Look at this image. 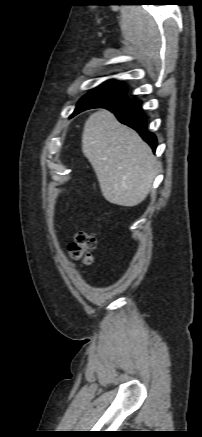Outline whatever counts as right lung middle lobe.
I'll list each match as a JSON object with an SVG mask.
<instances>
[{
  "label": "right lung middle lobe",
  "mask_w": 202,
  "mask_h": 437,
  "mask_svg": "<svg viewBox=\"0 0 202 437\" xmlns=\"http://www.w3.org/2000/svg\"><path fill=\"white\" fill-rule=\"evenodd\" d=\"M126 90V87L117 80H108L84 95L78 102L73 115L90 108H98L124 101L126 100Z\"/></svg>",
  "instance_id": "obj_1"
}]
</instances>
